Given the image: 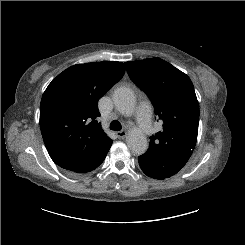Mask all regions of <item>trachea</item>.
Instances as JSON below:
<instances>
[{
  "label": "trachea",
  "instance_id": "trachea-1",
  "mask_svg": "<svg viewBox=\"0 0 245 245\" xmlns=\"http://www.w3.org/2000/svg\"><path fill=\"white\" fill-rule=\"evenodd\" d=\"M110 129L114 131H120L122 129V126L117 120H113L110 123Z\"/></svg>",
  "mask_w": 245,
  "mask_h": 245
}]
</instances>
